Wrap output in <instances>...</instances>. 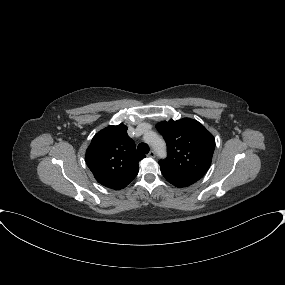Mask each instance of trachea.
Returning a JSON list of instances; mask_svg holds the SVG:
<instances>
[{"label": "trachea", "mask_w": 285, "mask_h": 285, "mask_svg": "<svg viewBox=\"0 0 285 285\" xmlns=\"http://www.w3.org/2000/svg\"><path fill=\"white\" fill-rule=\"evenodd\" d=\"M137 149L142 154H148L149 153V147L145 143H140L138 145Z\"/></svg>", "instance_id": "trachea-1"}]
</instances>
